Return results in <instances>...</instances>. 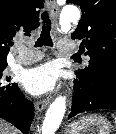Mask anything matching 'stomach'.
Returning <instances> with one entry per match:
<instances>
[{"label":"stomach","mask_w":116,"mask_h":134,"mask_svg":"<svg viewBox=\"0 0 116 134\" xmlns=\"http://www.w3.org/2000/svg\"><path fill=\"white\" fill-rule=\"evenodd\" d=\"M110 122L102 116L87 115L70 123L65 134H110Z\"/></svg>","instance_id":"0dacf381"}]
</instances>
